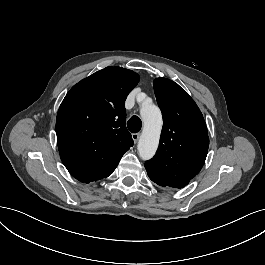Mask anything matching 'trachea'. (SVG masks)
Returning a JSON list of instances; mask_svg holds the SVG:
<instances>
[{
	"label": "trachea",
	"mask_w": 265,
	"mask_h": 265,
	"mask_svg": "<svg viewBox=\"0 0 265 265\" xmlns=\"http://www.w3.org/2000/svg\"><path fill=\"white\" fill-rule=\"evenodd\" d=\"M128 130L132 133H137L141 130L142 122L138 116L131 117L127 122Z\"/></svg>",
	"instance_id": "1"
}]
</instances>
